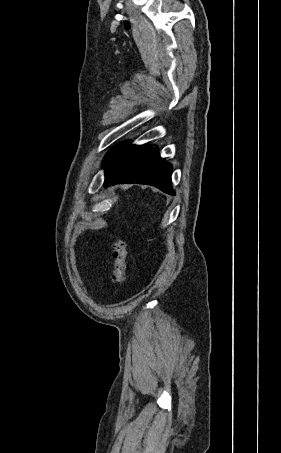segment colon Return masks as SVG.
Wrapping results in <instances>:
<instances>
[{
    "label": "colon",
    "instance_id": "5ec220e1",
    "mask_svg": "<svg viewBox=\"0 0 281 453\" xmlns=\"http://www.w3.org/2000/svg\"><path fill=\"white\" fill-rule=\"evenodd\" d=\"M113 266L111 271V285L121 289L125 283L127 271V247L122 239H116L112 246Z\"/></svg>",
    "mask_w": 281,
    "mask_h": 453
}]
</instances>
